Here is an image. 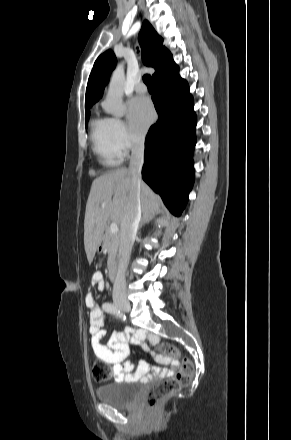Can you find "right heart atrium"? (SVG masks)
<instances>
[{
	"mask_svg": "<svg viewBox=\"0 0 291 440\" xmlns=\"http://www.w3.org/2000/svg\"><path fill=\"white\" fill-rule=\"evenodd\" d=\"M111 132L115 148L122 156L142 141V138L134 134L126 122L120 118H111Z\"/></svg>",
	"mask_w": 291,
	"mask_h": 440,
	"instance_id": "1",
	"label": "right heart atrium"
}]
</instances>
